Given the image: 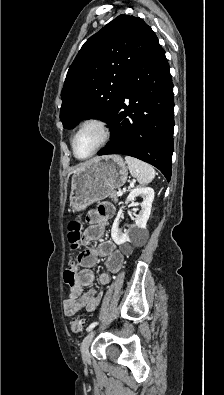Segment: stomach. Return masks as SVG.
<instances>
[{"mask_svg": "<svg viewBox=\"0 0 224 395\" xmlns=\"http://www.w3.org/2000/svg\"><path fill=\"white\" fill-rule=\"evenodd\" d=\"M128 176L126 163L119 155L97 157L73 172L70 205L82 211L96 201L107 198L124 185Z\"/></svg>", "mask_w": 224, "mask_h": 395, "instance_id": "obj_1", "label": "stomach"}]
</instances>
